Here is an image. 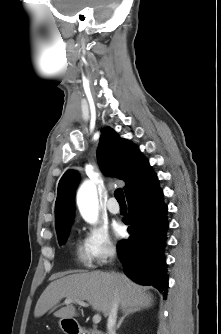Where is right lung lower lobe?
I'll return each mask as SVG.
<instances>
[{"label": "right lung lower lobe", "mask_w": 221, "mask_h": 334, "mask_svg": "<svg viewBox=\"0 0 221 334\" xmlns=\"http://www.w3.org/2000/svg\"><path fill=\"white\" fill-rule=\"evenodd\" d=\"M127 201L129 215L123 221L130 225V237L117 246L124 272L137 283L156 287L165 299L168 287L165 247L169 223L156 174L127 195Z\"/></svg>", "instance_id": "right-lung-lower-lobe-1"}]
</instances>
